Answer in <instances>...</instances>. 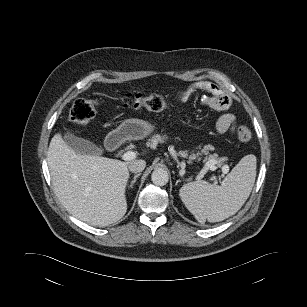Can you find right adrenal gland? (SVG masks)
<instances>
[{
  "label": "right adrenal gland",
  "instance_id": "1",
  "mask_svg": "<svg viewBox=\"0 0 307 307\" xmlns=\"http://www.w3.org/2000/svg\"><path fill=\"white\" fill-rule=\"evenodd\" d=\"M141 174L139 173V174H136L135 176H134V178H133V180L131 181V183H130V188H133V185H134V183L136 182V179L140 176Z\"/></svg>",
  "mask_w": 307,
  "mask_h": 307
}]
</instances>
